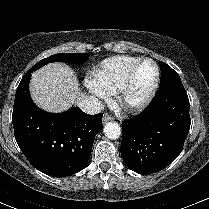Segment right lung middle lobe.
<instances>
[{"mask_svg":"<svg viewBox=\"0 0 209 209\" xmlns=\"http://www.w3.org/2000/svg\"><path fill=\"white\" fill-rule=\"evenodd\" d=\"M88 55L84 53H59L54 54L48 58L42 59L36 65H34L29 72H33L40 67L50 63V62H67L70 64H80L86 61Z\"/></svg>","mask_w":209,"mask_h":209,"instance_id":"dd1d6c3e","label":"right lung middle lobe"}]
</instances>
